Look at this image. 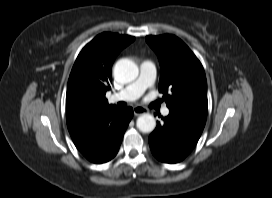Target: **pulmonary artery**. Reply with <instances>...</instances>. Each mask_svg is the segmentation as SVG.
Here are the masks:
<instances>
[{
  "instance_id": "e3ab8cb5",
  "label": "pulmonary artery",
  "mask_w": 272,
  "mask_h": 198,
  "mask_svg": "<svg viewBox=\"0 0 272 198\" xmlns=\"http://www.w3.org/2000/svg\"><path fill=\"white\" fill-rule=\"evenodd\" d=\"M140 76L133 83L127 85L121 91L114 93L110 96V101L118 102H131L140 98L143 93L153 86L156 76V67L151 61H143L140 65ZM162 114L167 116L169 109L167 107L162 109Z\"/></svg>"
}]
</instances>
